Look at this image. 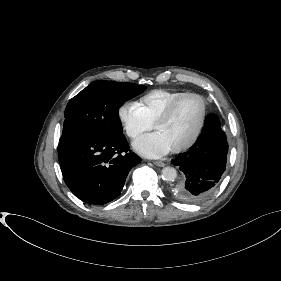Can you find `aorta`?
<instances>
[{
    "instance_id": "762f6f07",
    "label": "aorta",
    "mask_w": 281,
    "mask_h": 281,
    "mask_svg": "<svg viewBox=\"0 0 281 281\" xmlns=\"http://www.w3.org/2000/svg\"><path fill=\"white\" fill-rule=\"evenodd\" d=\"M177 177V171L173 167H165L162 170V179L167 182H173Z\"/></svg>"
}]
</instances>
